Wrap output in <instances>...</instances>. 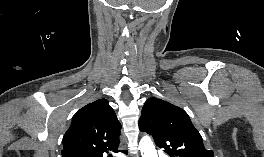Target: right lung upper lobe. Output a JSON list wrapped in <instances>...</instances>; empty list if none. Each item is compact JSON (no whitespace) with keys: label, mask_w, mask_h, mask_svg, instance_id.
Masks as SVG:
<instances>
[{"label":"right lung upper lobe","mask_w":264,"mask_h":157,"mask_svg":"<svg viewBox=\"0 0 264 157\" xmlns=\"http://www.w3.org/2000/svg\"><path fill=\"white\" fill-rule=\"evenodd\" d=\"M120 129L108 100H96L73 116L63 137L62 157H103L104 152H118Z\"/></svg>","instance_id":"cb5924a9"}]
</instances>
